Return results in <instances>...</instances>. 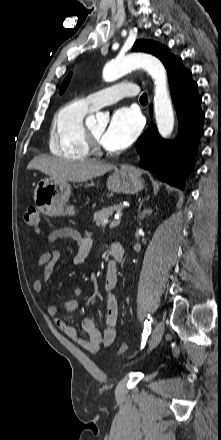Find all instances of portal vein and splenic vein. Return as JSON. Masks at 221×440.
Segmentation results:
<instances>
[{
    "mask_svg": "<svg viewBox=\"0 0 221 440\" xmlns=\"http://www.w3.org/2000/svg\"><path fill=\"white\" fill-rule=\"evenodd\" d=\"M119 224H120V219L119 218H115L113 221H111L110 227H116Z\"/></svg>",
    "mask_w": 221,
    "mask_h": 440,
    "instance_id": "18ae733b",
    "label": "portal vein and splenic vein"
}]
</instances>
